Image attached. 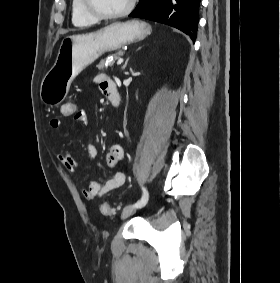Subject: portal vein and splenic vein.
Masks as SVG:
<instances>
[{"label":"portal vein and splenic vein","mask_w":280,"mask_h":283,"mask_svg":"<svg viewBox=\"0 0 280 283\" xmlns=\"http://www.w3.org/2000/svg\"><path fill=\"white\" fill-rule=\"evenodd\" d=\"M123 58H119L118 60H117V65H121L122 63H123Z\"/></svg>","instance_id":"18ae733b"}]
</instances>
